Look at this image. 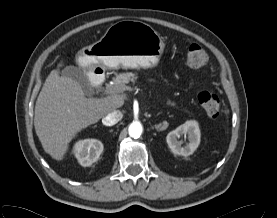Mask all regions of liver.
Listing matches in <instances>:
<instances>
[{
    "label": "liver",
    "mask_w": 277,
    "mask_h": 218,
    "mask_svg": "<svg viewBox=\"0 0 277 218\" xmlns=\"http://www.w3.org/2000/svg\"><path fill=\"white\" fill-rule=\"evenodd\" d=\"M123 104L122 95L86 98L78 82L60 76L55 69L46 78L36 101L35 131L44 151L60 161L78 132Z\"/></svg>",
    "instance_id": "1"
}]
</instances>
